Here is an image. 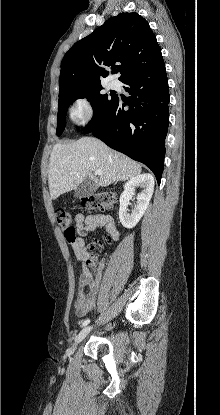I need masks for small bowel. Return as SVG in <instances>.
Wrapping results in <instances>:
<instances>
[{"label":"small bowel","instance_id":"obj_1","mask_svg":"<svg viewBox=\"0 0 220 415\" xmlns=\"http://www.w3.org/2000/svg\"><path fill=\"white\" fill-rule=\"evenodd\" d=\"M74 223L75 229L69 232L64 231V236L81 261L89 258L88 247L85 242V237L88 234L105 227L109 234V237L106 238L108 243L117 240L119 237L116 222L113 216L109 214H77L74 218ZM98 290L99 280L93 279L86 267L83 266V272L78 281L77 295L74 302L75 313L78 317H85L93 310Z\"/></svg>","mask_w":220,"mask_h":415}]
</instances>
